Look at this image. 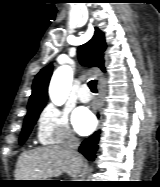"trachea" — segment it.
Instances as JSON below:
<instances>
[{
	"label": "trachea",
	"mask_w": 160,
	"mask_h": 187,
	"mask_svg": "<svg viewBox=\"0 0 160 187\" xmlns=\"http://www.w3.org/2000/svg\"><path fill=\"white\" fill-rule=\"evenodd\" d=\"M96 85H97V81H96V80H91V81H89V83H88V86H89V88H90V90H91L92 92H97Z\"/></svg>",
	"instance_id": "obj_1"
}]
</instances>
